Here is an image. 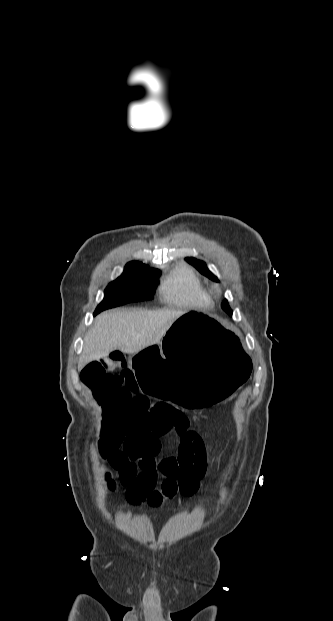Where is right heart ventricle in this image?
Returning <instances> with one entry per match:
<instances>
[{"label": "right heart ventricle", "instance_id": "e07e8e85", "mask_svg": "<svg viewBox=\"0 0 333 621\" xmlns=\"http://www.w3.org/2000/svg\"><path fill=\"white\" fill-rule=\"evenodd\" d=\"M160 294L164 301L183 307L208 308L213 303L204 282L186 266H178L168 274Z\"/></svg>", "mask_w": 333, "mask_h": 621}]
</instances>
